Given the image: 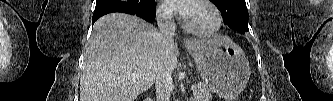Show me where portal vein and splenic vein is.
I'll return each mask as SVG.
<instances>
[{
    "label": "portal vein and splenic vein",
    "instance_id": "18ae733b",
    "mask_svg": "<svg viewBox=\"0 0 333 101\" xmlns=\"http://www.w3.org/2000/svg\"><path fill=\"white\" fill-rule=\"evenodd\" d=\"M191 89L194 91V90L196 89V86H195V85H193Z\"/></svg>",
    "mask_w": 333,
    "mask_h": 101
}]
</instances>
